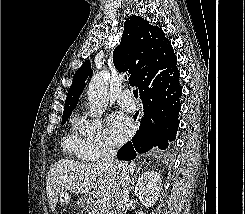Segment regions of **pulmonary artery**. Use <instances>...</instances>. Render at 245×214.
Segmentation results:
<instances>
[{"label": "pulmonary artery", "instance_id": "obj_1", "mask_svg": "<svg viewBox=\"0 0 245 214\" xmlns=\"http://www.w3.org/2000/svg\"><path fill=\"white\" fill-rule=\"evenodd\" d=\"M117 101L121 108L128 112H134L136 109L134 99L129 91H123L117 97Z\"/></svg>", "mask_w": 245, "mask_h": 214}]
</instances>
